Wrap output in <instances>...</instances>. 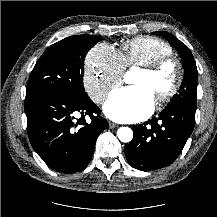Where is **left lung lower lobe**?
Returning <instances> with one entry per match:
<instances>
[{"label": "left lung lower lobe", "instance_id": "0a47b994", "mask_svg": "<svg viewBox=\"0 0 217 217\" xmlns=\"http://www.w3.org/2000/svg\"><path fill=\"white\" fill-rule=\"evenodd\" d=\"M196 108H165L158 117L133 126V139L125 147L128 163L135 169L151 171L173 163L193 131Z\"/></svg>", "mask_w": 217, "mask_h": 217}]
</instances>
